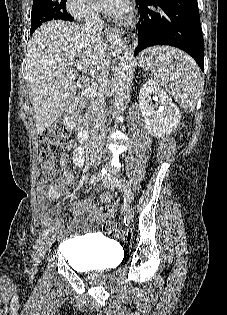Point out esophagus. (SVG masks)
Returning a JSON list of instances; mask_svg holds the SVG:
<instances>
[{"label": "esophagus", "instance_id": "34e87169", "mask_svg": "<svg viewBox=\"0 0 227 315\" xmlns=\"http://www.w3.org/2000/svg\"><path fill=\"white\" fill-rule=\"evenodd\" d=\"M106 33H107V37L109 39L115 38L116 40H119V41L121 39V33L119 32L118 29H110V28H108V29H106Z\"/></svg>", "mask_w": 227, "mask_h": 315}]
</instances>
